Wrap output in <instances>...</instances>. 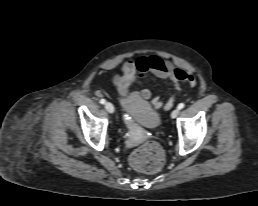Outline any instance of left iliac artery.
<instances>
[{
	"mask_svg": "<svg viewBox=\"0 0 258 206\" xmlns=\"http://www.w3.org/2000/svg\"><path fill=\"white\" fill-rule=\"evenodd\" d=\"M184 107H185V104H184V103H180V104L177 106L178 109H183Z\"/></svg>",
	"mask_w": 258,
	"mask_h": 206,
	"instance_id": "44dca946",
	"label": "left iliac artery"
}]
</instances>
